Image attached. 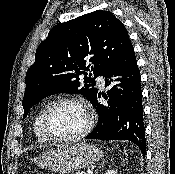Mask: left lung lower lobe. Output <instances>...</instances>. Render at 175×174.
I'll return each mask as SVG.
<instances>
[{
  "label": "left lung lower lobe",
  "instance_id": "obj_1",
  "mask_svg": "<svg viewBox=\"0 0 175 174\" xmlns=\"http://www.w3.org/2000/svg\"><path fill=\"white\" fill-rule=\"evenodd\" d=\"M105 86L113 84L104 95L107 104L98 103L97 93L91 101L99 115L96 128L86 139L129 140L146 154L140 71L130 43L116 63L103 75Z\"/></svg>",
  "mask_w": 175,
  "mask_h": 174
}]
</instances>
